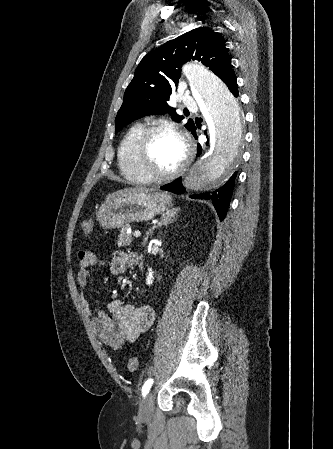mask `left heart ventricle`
Segmentation results:
<instances>
[{"mask_svg": "<svg viewBox=\"0 0 333 449\" xmlns=\"http://www.w3.org/2000/svg\"><path fill=\"white\" fill-rule=\"evenodd\" d=\"M185 155L180 139L167 131L157 132L150 144L148 166L157 173H168L179 166Z\"/></svg>", "mask_w": 333, "mask_h": 449, "instance_id": "b2bd125f", "label": "left heart ventricle"}]
</instances>
